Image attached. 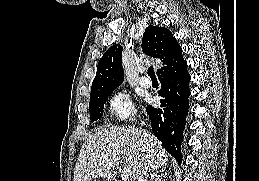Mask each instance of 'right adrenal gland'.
Segmentation results:
<instances>
[{
	"instance_id": "right-adrenal-gland-1",
	"label": "right adrenal gland",
	"mask_w": 259,
	"mask_h": 181,
	"mask_svg": "<svg viewBox=\"0 0 259 181\" xmlns=\"http://www.w3.org/2000/svg\"><path fill=\"white\" fill-rule=\"evenodd\" d=\"M163 176H164L163 173L159 175L158 172L155 171L152 173L150 181H165L163 180Z\"/></svg>"
}]
</instances>
